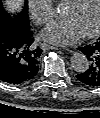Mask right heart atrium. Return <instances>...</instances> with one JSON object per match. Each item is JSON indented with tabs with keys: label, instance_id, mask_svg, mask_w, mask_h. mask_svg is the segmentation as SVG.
<instances>
[{
	"label": "right heart atrium",
	"instance_id": "d8ad5b80",
	"mask_svg": "<svg viewBox=\"0 0 100 118\" xmlns=\"http://www.w3.org/2000/svg\"><path fill=\"white\" fill-rule=\"evenodd\" d=\"M28 10L38 25H44L54 17L53 0H28Z\"/></svg>",
	"mask_w": 100,
	"mask_h": 118
}]
</instances>
